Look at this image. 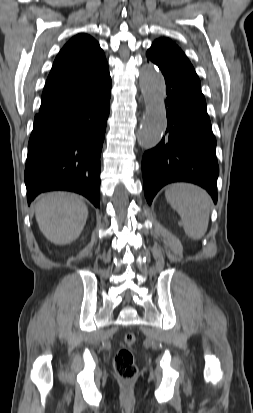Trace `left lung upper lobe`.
Segmentation results:
<instances>
[{"label":"left lung upper lobe","mask_w":253,"mask_h":413,"mask_svg":"<svg viewBox=\"0 0 253 413\" xmlns=\"http://www.w3.org/2000/svg\"><path fill=\"white\" fill-rule=\"evenodd\" d=\"M147 57L161 69L187 73L199 79L183 51L169 39L155 40L147 51Z\"/></svg>","instance_id":"obj_1"}]
</instances>
